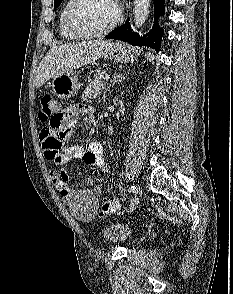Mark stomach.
<instances>
[{
	"mask_svg": "<svg viewBox=\"0 0 233 294\" xmlns=\"http://www.w3.org/2000/svg\"><path fill=\"white\" fill-rule=\"evenodd\" d=\"M137 56V50L122 43L114 44L105 55L106 58L121 63L133 62ZM50 86L59 98L69 99L76 94L81 84L78 81L76 72L71 70L55 76Z\"/></svg>",
	"mask_w": 233,
	"mask_h": 294,
	"instance_id": "0dacf381",
	"label": "stomach"
}]
</instances>
